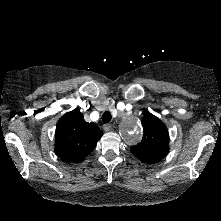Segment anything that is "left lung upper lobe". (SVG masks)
Masks as SVG:
<instances>
[{"mask_svg": "<svg viewBox=\"0 0 221 221\" xmlns=\"http://www.w3.org/2000/svg\"><path fill=\"white\" fill-rule=\"evenodd\" d=\"M143 138L131 152L142 162L153 163L164 158L169 151V134L166 126L156 116L147 112L143 119Z\"/></svg>", "mask_w": 221, "mask_h": 221, "instance_id": "obj_1", "label": "left lung upper lobe"}]
</instances>
